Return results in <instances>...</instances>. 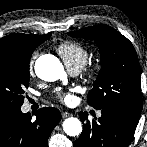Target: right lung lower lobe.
<instances>
[{
	"mask_svg": "<svg viewBox=\"0 0 147 147\" xmlns=\"http://www.w3.org/2000/svg\"><path fill=\"white\" fill-rule=\"evenodd\" d=\"M36 118L21 109L0 111V147H47L54 127L61 120L58 109L45 107Z\"/></svg>",
	"mask_w": 147,
	"mask_h": 147,
	"instance_id": "right-lung-lower-lobe-1",
	"label": "right lung lower lobe"
}]
</instances>
